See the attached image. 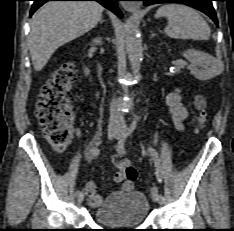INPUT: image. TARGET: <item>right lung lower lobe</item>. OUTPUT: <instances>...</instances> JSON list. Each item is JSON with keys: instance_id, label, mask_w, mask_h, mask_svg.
I'll return each mask as SVG.
<instances>
[{"instance_id": "98d812e1", "label": "right lung lower lobe", "mask_w": 234, "mask_h": 231, "mask_svg": "<svg viewBox=\"0 0 234 231\" xmlns=\"http://www.w3.org/2000/svg\"><path fill=\"white\" fill-rule=\"evenodd\" d=\"M34 4L32 5L31 8V12H30V16L40 7L42 6L44 3L48 2V1H97L100 4H102L104 7L108 8L109 10H111L113 13H115L116 15H118L119 17H122V13L121 11L118 9L117 6V1L120 0H33Z\"/></svg>"}]
</instances>
